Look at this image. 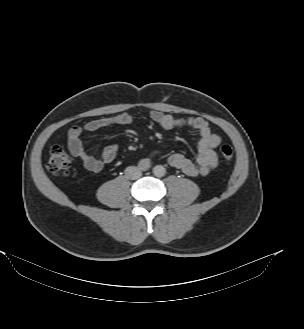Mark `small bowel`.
<instances>
[{
    "label": "small bowel",
    "mask_w": 304,
    "mask_h": 329,
    "mask_svg": "<svg viewBox=\"0 0 304 329\" xmlns=\"http://www.w3.org/2000/svg\"><path fill=\"white\" fill-rule=\"evenodd\" d=\"M150 118L164 129H188L195 133L198 139V152L196 160L193 161L182 154H172L169 156V164L190 177H200L208 175L218 165V157L215 149L221 143V137L211 132L209 124L201 117L177 118L161 111H152ZM133 123V117L128 113H121L112 117L99 118L87 122L83 127L73 126L68 132L69 149L71 153L91 172H99L104 166L110 164L118 153L117 145H109L102 151L101 158L91 155L82 139L84 131L94 132L114 125L128 126ZM156 153L151 154L140 162L141 166H146Z\"/></svg>",
    "instance_id": "small-bowel-1"
}]
</instances>
